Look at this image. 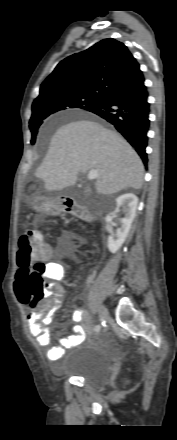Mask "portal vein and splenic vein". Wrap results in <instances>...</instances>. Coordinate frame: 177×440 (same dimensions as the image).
Returning <instances> with one entry per match:
<instances>
[{
  "mask_svg": "<svg viewBox=\"0 0 177 440\" xmlns=\"http://www.w3.org/2000/svg\"><path fill=\"white\" fill-rule=\"evenodd\" d=\"M98 177V172H97V170H91V171H89V173H88V179L89 180H94V179H96Z\"/></svg>",
  "mask_w": 177,
  "mask_h": 440,
  "instance_id": "1",
  "label": "portal vein and splenic vein"
}]
</instances>
